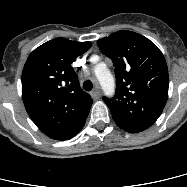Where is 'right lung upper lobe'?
<instances>
[{"instance_id": "right-lung-upper-lobe-1", "label": "right lung upper lobe", "mask_w": 187, "mask_h": 187, "mask_svg": "<svg viewBox=\"0 0 187 187\" xmlns=\"http://www.w3.org/2000/svg\"><path fill=\"white\" fill-rule=\"evenodd\" d=\"M90 42L50 40L28 57L22 73V97L27 113L48 137L68 140L83 128L92 105L71 66Z\"/></svg>"}]
</instances>
